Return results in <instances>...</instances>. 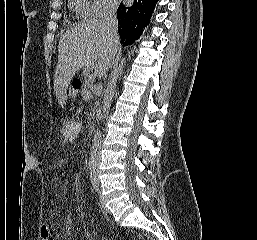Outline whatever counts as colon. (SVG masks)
I'll use <instances>...</instances> for the list:
<instances>
[{
	"label": "colon",
	"instance_id": "obj_1",
	"mask_svg": "<svg viewBox=\"0 0 257 240\" xmlns=\"http://www.w3.org/2000/svg\"><path fill=\"white\" fill-rule=\"evenodd\" d=\"M80 88V80L74 79L71 83L69 94L72 98H75L78 95ZM39 236L41 240H50V230L47 224H42L39 229Z\"/></svg>",
	"mask_w": 257,
	"mask_h": 240
}]
</instances>
